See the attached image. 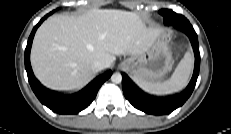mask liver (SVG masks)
<instances>
[{
  "instance_id": "liver-1",
  "label": "liver",
  "mask_w": 231,
  "mask_h": 134,
  "mask_svg": "<svg viewBox=\"0 0 231 134\" xmlns=\"http://www.w3.org/2000/svg\"><path fill=\"white\" fill-rule=\"evenodd\" d=\"M162 31L147 27L138 14L123 10L92 9L81 16H51L35 34L32 68L48 88L75 91L93 78L95 61L108 68L115 55H139Z\"/></svg>"
}]
</instances>
